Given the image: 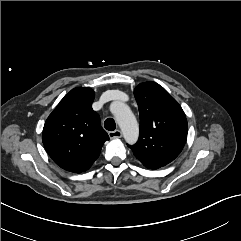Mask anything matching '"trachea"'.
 Here are the masks:
<instances>
[{"mask_svg": "<svg viewBox=\"0 0 241 241\" xmlns=\"http://www.w3.org/2000/svg\"><path fill=\"white\" fill-rule=\"evenodd\" d=\"M104 127H105V129H107L109 131H114L116 128V123H115L114 119L107 118L104 122Z\"/></svg>", "mask_w": 241, "mask_h": 241, "instance_id": "1", "label": "trachea"}]
</instances>
